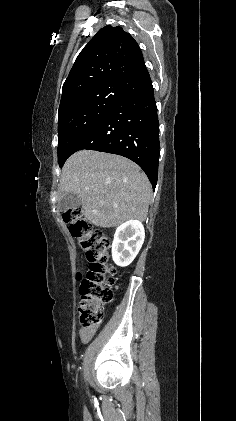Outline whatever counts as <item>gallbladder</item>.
<instances>
[{
    "mask_svg": "<svg viewBox=\"0 0 236 421\" xmlns=\"http://www.w3.org/2000/svg\"><path fill=\"white\" fill-rule=\"evenodd\" d=\"M81 200L78 194H74V192H68L65 196H62L60 200H58V208L59 211H69V208H78L80 206Z\"/></svg>",
    "mask_w": 236,
    "mask_h": 421,
    "instance_id": "obj_1",
    "label": "gallbladder"
}]
</instances>
